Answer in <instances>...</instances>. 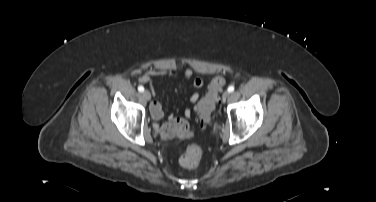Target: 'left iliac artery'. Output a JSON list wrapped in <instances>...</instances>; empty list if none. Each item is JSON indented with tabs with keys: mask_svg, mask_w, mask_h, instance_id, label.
<instances>
[{
	"mask_svg": "<svg viewBox=\"0 0 376 202\" xmlns=\"http://www.w3.org/2000/svg\"><path fill=\"white\" fill-rule=\"evenodd\" d=\"M234 89H235V88H234V86H233V85H231V86H229V87H228V92H229V93H231V92H233V91H234Z\"/></svg>",
	"mask_w": 376,
	"mask_h": 202,
	"instance_id": "44dca946",
	"label": "left iliac artery"
}]
</instances>
